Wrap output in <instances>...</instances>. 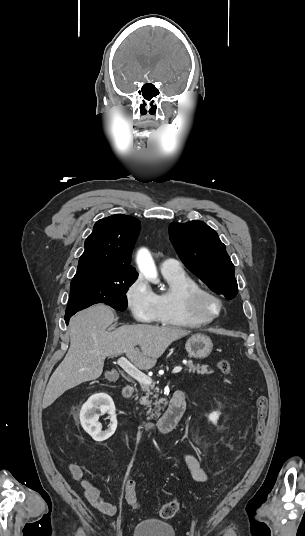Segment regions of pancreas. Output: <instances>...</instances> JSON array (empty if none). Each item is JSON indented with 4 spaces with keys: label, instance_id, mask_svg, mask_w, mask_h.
Masks as SVG:
<instances>
[{
    "label": "pancreas",
    "instance_id": "1",
    "mask_svg": "<svg viewBox=\"0 0 305 536\" xmlns=\"http://www.w3.org/2000/svg\"><path fill=\"white\" fill-rule=\"evenodd\" d=\"M187 368H189V372H196V374H213V370H207L208 366H200V364H193L191 360H189L188 364H185ZM142 392H145V396H141L140 398V404H143V406H146V408H149L147 414H151L147 420H151L153 416H160V404L161 400H158V402H153V398H158L159 394L158 388H155L154 384L152 386H141ZM152 406H156L157 410H155V414H152Z\"/></svg>",
    "mask_w": 305,
    "mask_h": 536
}]
</instances>
